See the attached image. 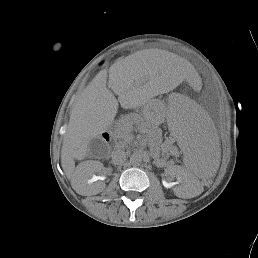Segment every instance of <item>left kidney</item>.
I'll return each instance as SVG.
<instances>
[{"instance_id": "1", "label": "left kidney", "mask_w": 258, "mask_h": 258, "mask_svg": "<svg viewBox=\"0 0 258 258\" xmlns=\"http://www.w3.org/2000/svg\"><path fill=\"white\" fill-rule=\"evenodd\" d=\"M176 184V183H173ZM175 195L182 198L192 197L193 194L190 193L189 188L185 186H177L175 189Z\"/></svg>"}]
</instances>
